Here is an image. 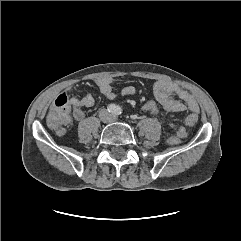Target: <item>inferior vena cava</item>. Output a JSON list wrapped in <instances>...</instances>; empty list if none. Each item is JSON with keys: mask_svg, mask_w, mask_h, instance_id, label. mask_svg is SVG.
<instances>
[{"mask_svg": "<svg viewBox=\"0 0 241 241\" xmlns=\"http://www.w3.org/2000/svg\"><path fill=\"white\" fill-rule=\"evenodd\" d=\"M99 117L103 122H112L114 120V115L109 113L106 109L100 111Z\"/></svg>", "mask_w": 241, "mask_h": 241, "instance_id": "1", "label": "inferior vena cava"}]
</instances>
